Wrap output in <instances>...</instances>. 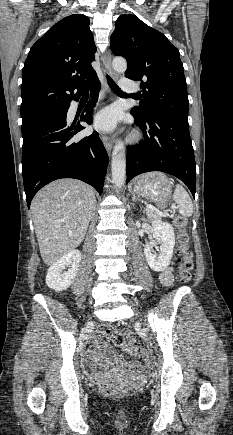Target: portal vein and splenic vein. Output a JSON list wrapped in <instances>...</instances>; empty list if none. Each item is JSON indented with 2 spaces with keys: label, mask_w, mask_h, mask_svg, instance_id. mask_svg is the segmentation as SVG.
<instances>
[{
  "label": "portal vein and splenic vein",
  "mask_w": 233,
  "mask_h": 435,
  "mask_svg": "<svg viewBox=\"0 0 233 435\" xmlns=\"http://www.w3.org/2000/svg\"><path fill=\"white\" fill-rule=\"evenodd\" d=\"M146 208L151 209V210H155L156 212H158L160 215L162 216H167L168 214L166 212H160L159 210H157L155 207L147 205Z\"/></svg>",
  "instance_id": "1"
}]
</instances>
